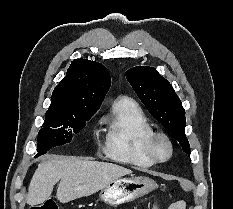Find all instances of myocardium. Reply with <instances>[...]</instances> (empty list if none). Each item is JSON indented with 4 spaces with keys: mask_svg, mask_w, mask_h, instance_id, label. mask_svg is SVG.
<instances>
[{
    "mask_svg": "<svg viewBox=\"0 0 233 209\" xmlns=\"http://www.w3.org/2000/svg\"><path fill=\"white\" fill-rule=\"evenodd\" d=\"M166 148V154L161 153V147ZM148 149L152 157L158 162H165L172 157L173 144L169 136L163 132H154L149 139Z\"/></svg>",
    "mask_w": 233,
    "mask_h": 209,
    "instance_id": "obj_1",
    "label": "myocardium"
}]
</instances>
